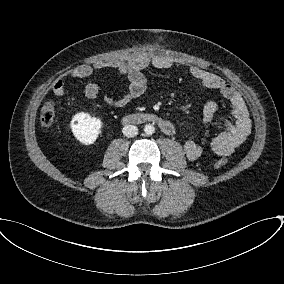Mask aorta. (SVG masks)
Wrapping results in <instances>:
<instances>
[{
	"label": "aorta",
	"mask_w": 284,
	"mask_h": 284,
	"mask_svg": "<svg viewBox=\"0 0 284 284\" xmlns=\"http://www.w3.org/2000/svg\"><path fill=\"white\" fill-rule=\"evenodd\" d=\"M155 131V127L152 124H147L144 127V132L147 135H152Z\"/></svg>",
	"instance_id": "762f6f07"
}]
</instances>
